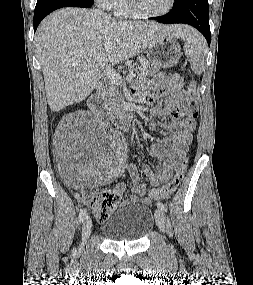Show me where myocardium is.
Segmentation results:
<instances>
[{
	"label": "myocardium",
	"instance_id": "myocardium-1",
	"mask_svg": "<svg viewBox=\"0 0 253 285\" xmlns=\"http://www.w3.org/2000/svg\"><path fill=\"white\" fill-rule=\"evenodd\" d=\"M127 3H128V7L133 16L137 18H143V19H152V18H158V17L164 16L170 13L175 7L176 0H170L169 6L165 10L158 12V13L143 12L142 10L139 9L136 0H127Z\"/></svg>",
	"mask_w": 253,
	"mask_h": 285
}]
</instances>
